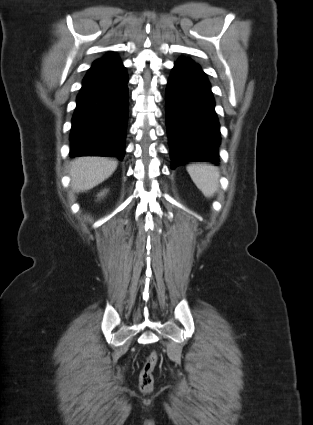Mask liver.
I'll return each instance as SVG.
<instances>
[{"label": "liver", "instance_id": "liver-1", "mask_svg": "<svg viewBox=\"0 0 313 425\" xmlns=\"http://www.w3.org/2000/svg\"><path fill=\"white\" fill-rule=\"evenodd\" d=\"M118 162L104 157H80L71 163L70 177L73 190L84 192L109 178Z\"/></svg>", "mask_w": 313, "mask_h": 425}]
</instances>
